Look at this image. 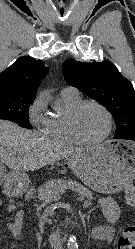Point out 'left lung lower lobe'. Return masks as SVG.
<instances>
[{
	"label": "left lung lower lobe",
	"instance_id": "obj_1",
	"mask_svg": "<svg viewBox=\"0 0 135 249\" xmlns=\"http://www.w3.org/2000/svg\"><path fill=\"white\" fill-rule=\"evenodd\" d=\"M125 139H128V140H133V141H135V135L129 136V137L125 138Z\"/></svg>",
	"mask_w": 135,
	"mask_h": 249
}]
</instances>
